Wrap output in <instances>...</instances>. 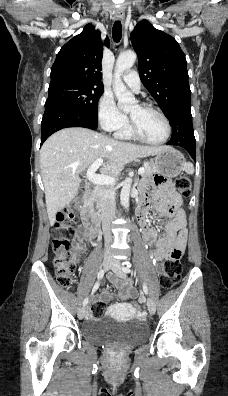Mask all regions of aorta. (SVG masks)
I'll return each instance as SVG.
<instances>
[{"label":"aorta","instance_id":"obj_1","mask_svg":"<svg viewBox=\"0 0 228 396\" xmlns=\"http://www.w3.org/2000/svg\"><path fill=\"white\" fill-rule=\"evenodd\" d=\"M136 58L137 56L133 51H127L120 54L116 62L113 91L118 100V105L124 110L129 109L135 103V97L130 91L127 90L121 79V76L126 70L130 69L134 65ZM130 190L131 179L126 178L123 182V187L120 194L121 204L125 209L129 208Z\"/></svg>","mask_w":228,"mask_h":396}]
</instances>
